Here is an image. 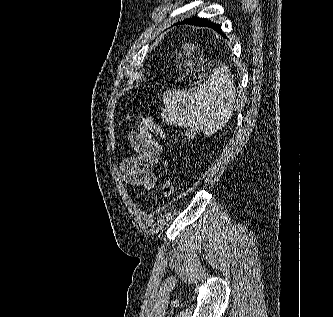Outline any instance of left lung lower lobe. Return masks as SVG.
<instances>
[{
	"mask_svg": "<svg viewBox=\"0 0 333 317\" xmlns=\"http://www.w3.org/2000/svg\"><path fill=\"white\" fill-rule=\"evenodd\" d=\"M181 23H186V24H190L193 26H200V27H209L214 29L216 32H218L219 34L224 35V33L222 32V30L220 29V25L213 23L211 21H209L208 19H204V18H199L197 16L189 18V19H185L183 21H181Z\"/></svg>",
	"mask_w": 333,
	"mask_h": 317,
	"instance_id": "0a47b994",
	"label": "left lung lower lobe"
}]
</instances>
